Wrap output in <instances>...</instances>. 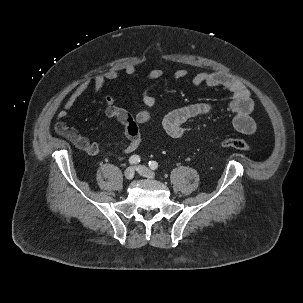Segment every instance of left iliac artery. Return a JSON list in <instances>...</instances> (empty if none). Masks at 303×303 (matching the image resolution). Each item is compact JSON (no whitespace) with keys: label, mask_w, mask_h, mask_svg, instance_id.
<instances>
[{"label":"left iliac artery","mask_w":303,"mask_h":303,"mask_svg":"<svg viewBox=\"0 0 303 303\" xmlns=\"http://www.w3.org/2000/svg\"><path fill=\"white\" fill-rule=\"evenodd\" d=\"M148 165L152 170H156L158 168V163L156 161H149Z\"/></svg>","instance_id":"44dca946"}]
</instances>
